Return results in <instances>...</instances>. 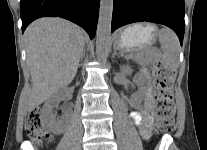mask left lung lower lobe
<instances>
[{"mask_svg": "<svg viewBox=\"0 0 207 150\" xmlns=\"http://www.w3.org/2000/svg\"><path fill=\"white\" fill-rule=\"evenodd\" d=\"M184 0H114L111 32L134 22H153L170 27L183 43Z\"/></svg>", "mask_w": 207, "mask_h": 150, "instance_id": "left-lung-lower-lobe-1", "label": "left lung lower lobe"}]
</instances>
